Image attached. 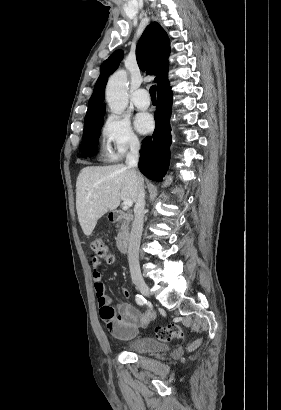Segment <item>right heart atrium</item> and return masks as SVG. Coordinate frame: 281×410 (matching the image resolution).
<instances>
[{
	"mask_svg": "<svg viewBox=\"0 0 281 410\" xmlns=\"http://www.w3.org/2000/svg\"><path fill=\"white\" fill-rule=\"evenodd\" d=\"M101 146L105 157L119 160L129 151L137 150L140 140L126 118L110 114L101 127Z\"/></svg>",
	"mask_w": 281,
	"mask_h": 410,
	"instance_id": "d8ad5b80",
	"label": "right heart atrium"
}]
</instances>
